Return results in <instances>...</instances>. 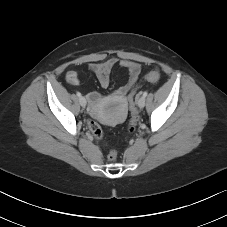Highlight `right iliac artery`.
Listing matches in <instances>:
<instances>
[{
  "label": "right iliac artery",
  "mask_w": 227,
  "mask_h": 227,
  "mask_svg": "<svg viewBox=\"0 0 227 227\" xmlns=\"http://www.w3.org/2000/svg\"><path fill=\"white\" fill-rule=\"evenodd\" d=\"M76 95H77L78 97H81V93H80V92H77Z\"/></svg>",
  "instance_id": "right-iliac-artery-1"
}]
</instances>
